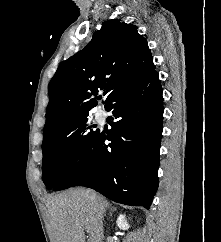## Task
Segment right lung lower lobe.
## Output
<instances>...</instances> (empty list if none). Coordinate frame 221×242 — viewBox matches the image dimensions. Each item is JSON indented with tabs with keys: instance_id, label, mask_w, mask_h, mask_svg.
I'll use <instances>...</instances> for the list:
<instances>
[{
	"instance_id": "obj_1",
	"label": "right lung lower lobe",
	"mask_w": 221,
	"mask_h": 242,
	"mask_svg": "<svg viewBox=\"0 0 221 242\" xmlns=\"http://www.w3.org/2000/svg\"><path fill=\"white\" fill-rule=\"evenodd\" d=\"M106 111L113 113L107 119L110 131H99L53 190L85 186L115 202L149 209L159 184L163 120L157 71L119 94Z\"/></svg>"
}]
</instances>
